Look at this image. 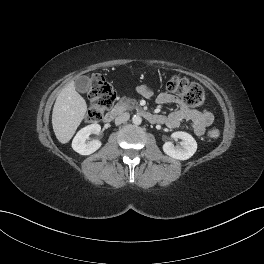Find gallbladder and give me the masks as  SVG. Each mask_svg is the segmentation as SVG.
<instances>
[{"label": "gallbladder", "mask_w": 264, "mask_h": 264, "mask_svg": "<svg viewBox=\"0 0 264 264\" xmlns=\"http://www.w3.org/2000/svg\"><path fill=\"white\" fill-rule=\"evenodd\" d=\"M90 85V79L87 76L79 77L75 81V87L81 93H86L89 90Z\"/></svg>", "instance_id": "1"}]
</instances>
